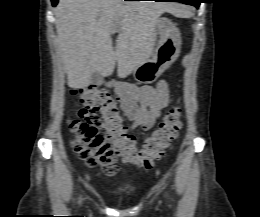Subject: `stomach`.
<instances>
[{
    "label": "stomach",
    "mask_w": 260,
    "mask_h": 217,
    "mask_svg": "<svg viewBox=\"0 0 260 217\" xmlns=\"http://www.w3.org/2000/svg\"><path fill=\"white\" fill-rule=\"evenodd\" d=\"M156 33L159 35V41L152 57L133 71L138 83L154 82L179 56L180 37L171 21L160 18L156 25Z\"/></svg>",
    "instance_id": "obj_1"
}]
</instances>
